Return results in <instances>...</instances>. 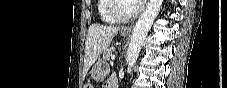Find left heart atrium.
<instances>
[{
  "mask_svg": "<svg viewBox=\"0 0 227 88\" xmlns=\"http://www.w3.org/2000/svg\"><path fill=\"white\" fill-rule=\"evenodd\" d=\"M136 5H139V6H141V5H143L144 4V0H134L133 1Z\"/></svg>",
  "mask_w": 227,
  "mask_h": 88,
  "instance_id": "1",
  "label": "left heart atrium"
}]
</instances>
